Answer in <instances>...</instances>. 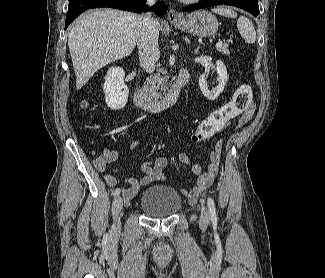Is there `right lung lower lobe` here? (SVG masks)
Returning a JSON list of instances; mask_svg holds the SVG:
<instances>
[{
    "mask_svg": "<svg viewBox=\"0 0 325 278\" xmlns=\"http://www.w3.org/2000/svg\"><path fill=\"white\" fill-rule=\"evenodd\" d=\"M97 7H111L136 13L149 10L147 7L145 8V0H70L65 29L82 12ZM152 10L162 17L166 13L167 6L163 2H158L152 7Z\"/></svg>",
    "mask_w": 325,
    "mask_h": 278,
    "instance_id": "right-lung-lower-lobe-1",
    "label": "right lung lower lobe"
}]
</instances>
